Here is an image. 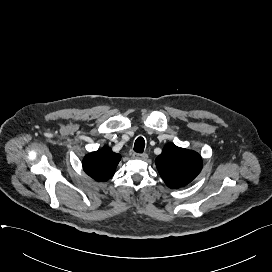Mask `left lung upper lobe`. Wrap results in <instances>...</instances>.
<instances>
[{"instance_id": "obj_1", "label": "left lung upper lobe", "mask_w": 272, "mask_h": 272, "mask_svg": "<svg viewBox=\"0 0 272 272\" xmlns=\"http://www.w3.org/2000/svg\"><path fill=\"white\" fill-rule=\"evenodd\" d=\"M160 176L170 188L189 184L202 169L201 156L192 150L169 143L155 160Z\"/></svg>"}]
</instances>
